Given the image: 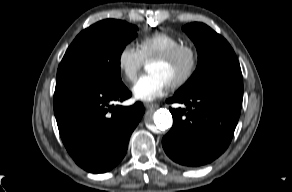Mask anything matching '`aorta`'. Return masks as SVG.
Wrapping results in <instances>:
<instances>
[{"mask_svg": "<svg viewBox=\"0 0 292 192\" xmlns=\"http://www.w3.org/2000/svg\"><path fill=\"white\" fill-rule=\"evenodd\" d=\"M154 124L160 131H165L171 127L172 115L167 109H159L153 116Z\"/></svg>", "mask_w": 292, "mask_h": 192, "instance_id": "aorta-1", "label": "aorta"}]
</instances>
